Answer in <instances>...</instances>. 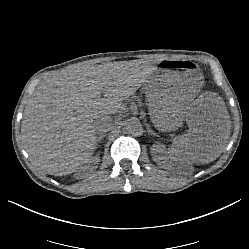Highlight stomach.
Masks as SVG:
<instances>
[{"mask_svg": "<svg viewBox=\"0 0 249 249\" xmlns=\"http://www.w3.org/2000/svg\"><path fill=\"white\" fill-rule=\"evenodd\" d=\"M203 85V74L193 63L163 60L143 87L149 119L163 131L175 129Z\"/></svg>", "mask_w": 249, "mask_h": 249, "instance_id": "0dacf381", "label": "stomach"}]
</instances>
